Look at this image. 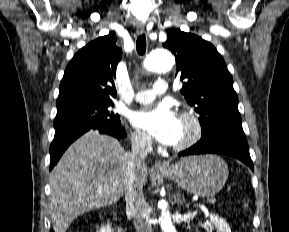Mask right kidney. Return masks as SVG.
<instances>
[{
  "mask_svg": "<svg viewBox=\"0 0 289 232\" xmlns=\"http://www.w3.org/2000/svg\"><path fill=\"white\" fill-rule=\"evenodd\" d=\"M98 232H112L111 225H102Z\"/></svg>",
  "mask_w": 289,
  "mask_h": 232,
  "instance_id": "1",
  "label": "right kidney"
}]
</instances>
